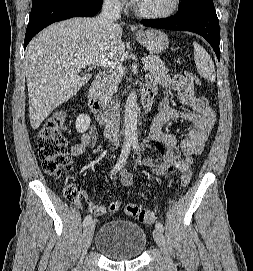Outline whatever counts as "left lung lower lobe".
I'll return each mask as SVG.
<instances>
[{"label": "left lung lower lobe", "instance_id": "obj_1", "mask_svg": "<svg viewBox=\"0 0 253 271\" xmlns=\"http://www.w3.org/2000/svg\"><path fill=\"white\" fill-rule=\"evenodd\" d=\"M142 23L147 27L197 33L210 43L220 60V29L213 0L202 1L200 7L187 13L178 11L169 18L143 20Z\"/></svg>", "mask_w": 253, "mask_h": 271}]
</instances>
